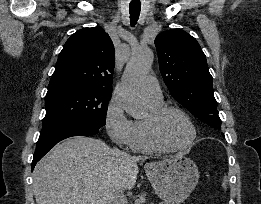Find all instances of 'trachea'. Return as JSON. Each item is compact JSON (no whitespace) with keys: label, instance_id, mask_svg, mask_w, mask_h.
Here are the masks:
<instances>
[{"label":"trachea","instance_id":"1","mask_svg":"<svg viewBox=\"0 0 261 204\" xmlns=\"http://www.w3.org/2000/svg\"><path fill=\"white\" fill-rule=\"evenodd\" d=\"M141 5H130L129 13H130V23L131 26H135L140 15Z\"/></svg>","mask_w":261,"mask_h":204}]
</instances>
